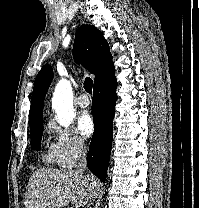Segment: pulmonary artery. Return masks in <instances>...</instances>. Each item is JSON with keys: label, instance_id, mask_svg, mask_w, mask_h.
Returning <instances> with one entry per match:
<instances>
[{"label": "pulmonary artery", "instance_id": "obj_1", "mask_svg": "<svg viewBox=\"0 0 199 208\" xmlns=\"http://www.w3.org/2000/svg\"><path fill=\"white\" fill-rule=\"evenodd\" d=\"M76 103L80 108H87L91 104L87 94H81L77 98Z\"/></svg>", "mask_w": 199, "mask_h": 208}]
</instances>
